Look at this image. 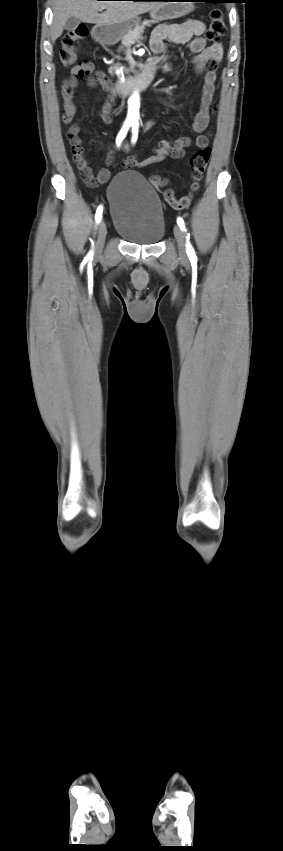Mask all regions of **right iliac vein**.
Segmentation results:
<instances>
[{"instance_id": "obj_1", "label": "right iliac vein", "mask_w": 283, "mask_h": 851, "mask_svg": "<svg viewBox=\"0 0 283 851\" xmlns=\"http://www.w3.org/2000/svg\"><path fill=\"white\" fill-rule=\"evenodd\" d=\"M106 235H107V226H106V223L104 222V220H102L99 224V229H98V239H97V246H96L98 252H101L102 249H103L105 239H106Z\"/></svg>"}]
</instances>
